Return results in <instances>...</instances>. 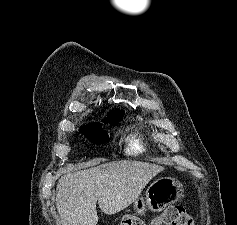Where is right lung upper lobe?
<instances>
[{"mask_svg": "<svg viewBox=\"0 0 237 225\" xmlns=\"http://www.w3.org/2000/svg\"><path fill=\"white\" fill-rule=\"evenodd\" d=\"M110 114L115 116H124V112L119 110L112 111Z\"/></svg>", "mask_w": 237, "mask_h": 225, "instance_id": "cb5924a9", "label": "right lung upper lobe"}]
</instances>
